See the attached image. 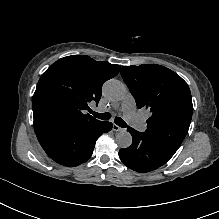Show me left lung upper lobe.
Here are the masks:
<instances>
[{"mask_svg":"<svg viewBox=\"0 0 219 219\" xmlns=\"http://www.w3.org/2000/svg\"><path fill=\"white\" fill-rule=\"evenodd\" d=\"M121 76L137 107L146 108V134L151 142L175 153L188 133L193 104L187 83L172 70L155 64L123 66Z\"/></svg>","mask_w":219,"mask_h":219,"instance_id":"5c2ea615","label":"left lung upper lobe"}]
</instances>
